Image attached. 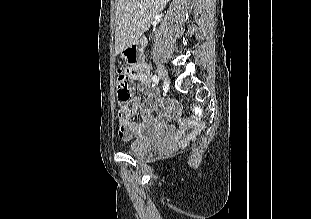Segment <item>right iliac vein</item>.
I'll return each instance as SVG.
<instances>
[{
	"label": "right iliac vein",
	"instance_id": "obj_1",
	"mask_svg": "<svg viewBox=\"0 0 311 219\" xmlns=\"http://www.w3.org/2000/svg\"><path fill=\"white\" fill-rule=\"evenodd\" d=\"M157 71H158V75H159L160 79L163 81H166L168 78V74H167L165 67L161 64H158Z\"/></svg>",
	"mask_w": 311,
	"mask_h": 219
}]
</instances>
